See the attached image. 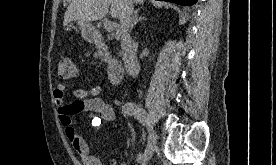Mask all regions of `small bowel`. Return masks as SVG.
<instances>
[{
  "label": "small bowel",
  "mask_w": 276,
  "mask_h": 165,
  "mask_svg": "<svg viewBox=\"0 0 276 165\" xmlns=\"http://www.w3.org/2000/svg\"><path fill=\"white\" fill-rule=\"evenodd\" d=\"M101 86L95 84L89 88H70L65 84H58L53 91V98L58 109L59 121L64 128L65 135L71 146L79 155L83 165H102L100 157L93 154L85 139L78 132L75 124V115L86 111L93 115L92 125L98 127L102 122H114L115 112L111 105L101 97ZM67 96L74 98L67 100ZM112 159L110 165H117ZM120 165H126L121 162Z\"/></svg>",
  "instance_id": "small-bowel-1"
}]
</instances>
